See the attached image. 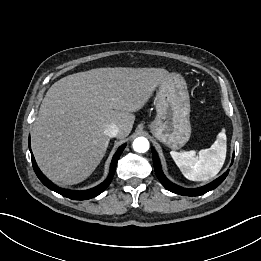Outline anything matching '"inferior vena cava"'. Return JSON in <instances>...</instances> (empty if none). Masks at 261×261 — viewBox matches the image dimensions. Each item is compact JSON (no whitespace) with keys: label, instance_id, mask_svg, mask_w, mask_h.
<instances>
[{"label":"inferior vena cava","instance_id":"602c4592","mask_svg":"<svg viewBox=\"0 0 261 261\" xmlns=\"http://www.w3.org/2000/svg\"><path fill=\"white\" fill-rule=\"evenodd\" d=\"M104 133L110 138L116 137L119 133V127L116 124H110L105 128Z\"/></svg>","mask_w":261,"mask_h":261}]
</instances>
